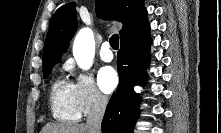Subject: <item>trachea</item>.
Instances as JSON below:
<instances>
[{
	"instance_id": "obj_1",
	"label": "trachea",
	"mask_w": 221,
	"mask_h": 133,
	"mask_svg": "<svg viewBox=\"0 0 221 133\" xmlns=\"http://www.w3.org/2000/svg\"><path fill=\"white\" fill-rule=\"evenodd\" d=\"M110 45L114 50H117L119 48V36L118 34H114L110 38Z\"/></svg>"
}]
</instances>
